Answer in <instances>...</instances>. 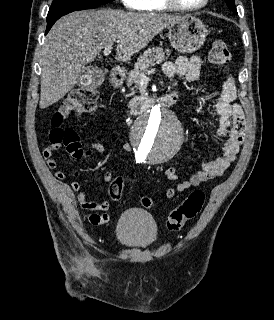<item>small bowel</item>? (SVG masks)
Wrapping results in <instances>:
<instances>
[{
  "label": "small bowel",
  "instance_id": "1",
  "mask_svg": "<svg viewBox=\"0 0 274 320\" xmlns=\"http://www.w3.org/2000/svg\"><path fill=\"white\" fill-rule=\"evenodd\" d=\"M164 72L169 79L175 76H183L191 83L196 82L200 76V58L198 56L178 57L175 61L167 62L164 65ZM236 95L237 89L234 78L228 75L212 105V112L219 118L217 137L223 142L222 153L205 161L201 169L196 171L188 179L179 180L177 169L175 167H168L165 170V176L170 181L175 182V185L165 191V198L172 199L177 193L185 192L192 187L220 176L234 162L247 131L246 117L242 107L235 102ZM54 145L55 147H62L63 142L62 140H55ZM122 149L125 152H130L131 146L124 144ZM104 150L105 148L101 143L93 141L89 143L86 152L76 150L72 152V154L75 157H81L84 154L98 155L102 154ZM42 151L43 159H49L47 161L48 167L55 169L57 163L55 159L52 158V153L55 151V148L53 146H43ZM55 176L58 179H63L65 173L63 171H56ZM103 180L107 183H112L114 181L112 172L106 171L103 174ZM70 188L77 194L78 206L89 212L85 217L88 223L98 226L109 221L110 217L105 213L110 208L108 201L89 200L78 181L71 182Z\"/></svg>",
  "mask_w": 274,
  "mask_h": 320
}]
</instances>
